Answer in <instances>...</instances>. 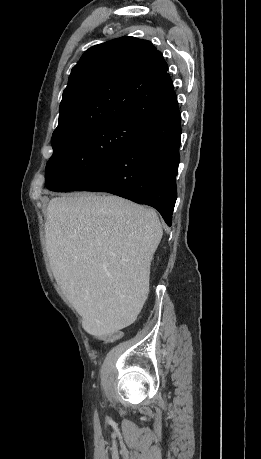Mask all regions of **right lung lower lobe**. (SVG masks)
I'll return each instance as SVG.
<instances>
[{"label": "right lung lower lobe", "instance_id": "right-lung-lower-lobe-1", "mask_svg": "<svg viewBox=\"0 0 261 459\" xmlns=\"http://www.w3.org/2000/svg\"><path fill=\"white\" fill-rule=\"evenodd\" d=\"M181 115L154 120L112 161L72 190L108 192L154 207L168 226L177 199Z\"/></svg>", "mask_w": 261, "mask_h": 459}]
</instances>
